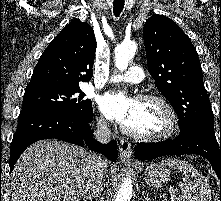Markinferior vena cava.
<instances>
[{"instance_id": "1", "label": "inferior vena cava", "mask_w": 221, "mask_h": 201, "mask_svg": "<svg viewBox=\"0 0 221 201\" xmlns=\"http://www.w3.org/2000/svg\"><path fill=\"white\" fill-rule=\"evenodd\" d=\"M96 138L98 141L103 143L109 142L111 138V132L107 127L106 121L103 119L97 121ZM105 167L106 161L102 160L100 155L96 156L90 183L91 193L93 196L98 197L103 190Z\"/></svg>"}]
</instances>
